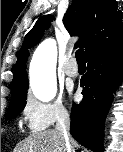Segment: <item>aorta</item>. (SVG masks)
<instances>
[{"instance_id": "762f6f07", "label": "aorta", "mask_w": 123, "mask_h": 152, "mask_svg": "<svg viewBox=\"0 0 123 152\" xmlns=\"http://www.w3.org/2000/svg\"><path fill=\"white\" fill-rule=\"evenodd\" d=\"M57 47L53 39H46L35 50L30 63V83L34 96L42 101H51L57 91Z\"/></svg>"}]
</instances>
